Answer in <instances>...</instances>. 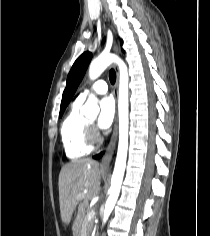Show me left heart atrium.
Instances as JSON below:
<instances>
[{
	"label": "left heart atrium",
	"mask_w": 210,
	"mask_h": 236,
	"mask_svg": "<svg viewBox=\"0 0 210 236\" xmlns=\"http://www.w3.org/2000/svg\"><path fill=\"white\" fill-rule=\"evenodd\" d=\"M115 114V105L111 97H105L100 103V113L97 125L104 130L111 126Z\"/></svg>",
	"instance_id": "39dd6f15"
}]
</instances>
